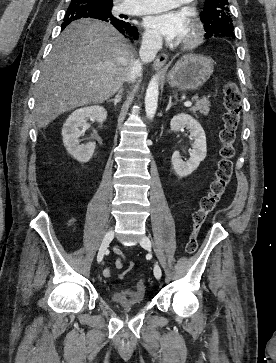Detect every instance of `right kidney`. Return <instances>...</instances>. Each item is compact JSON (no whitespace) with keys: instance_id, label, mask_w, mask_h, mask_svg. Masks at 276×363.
Returning <instances> with one entry per match:
<instances>
[{"instance_id":"ca27d5eb","label":"right kidney","mask_w":276,"mask_h":363,"mask_svg":"<svg viewBox=\"0 0 276 363\" xmlns=\"http://www.w3.org/2000/svg\"><path fill=\"white\" fill-rule=\"evenodd\" d=\"M88 118L102 123L107 118V111L99 105L77 109L71 113L62 128L67 152L80 163H87L92 158L96 146L95 142L80 145L79 137L83 134L80 128L86 124Z\"/></svg>"}]
</instances>
